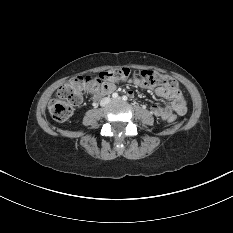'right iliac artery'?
Segmentation results:
<instances>
[{"label": "right iliac artery", "instance_id": "82829eb1", "mask_svg": "<svg viewBox=\"0 0 233 233\" xmlns=\"http://www.w3.org/2000/svg\"><path fill=\"white\" fill-rule=\"evenodd\" d=\"M112 97L115 99V98L118 97V94H117V93H113V94H112Z\"/></svg>", "mask_w": 233, "mask_h": 233}]
</instances>
